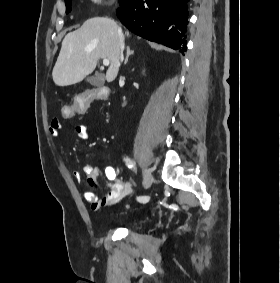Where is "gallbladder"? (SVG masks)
I'll list each match as a JSON object with an SVG mask.
<instances>
[{
    "instance_id": "gallbladder-1",
    "label": "gallbladder",
    "mask_w": 280,
    "mask_h": 283,
    "mask_svg": "<svg viewBox=\"0 0 280 283\" xmlns=\"http://www.w3.org/2000/svg\"><path fill=\"white\" fill-rule=\"evenodd\" d=\"M87 82L92 86L101 87L104 85L105 78L102 73H96L95 75L88 77Z\"/></svg>"
}]
</instances>
